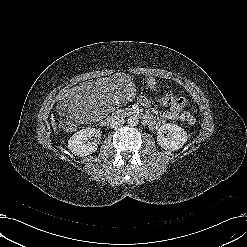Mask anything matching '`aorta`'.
<instances>
[{
	"label": "aorta",
	"mask_w": 247,
	"mask_h": 247,
	"mask_svg": "<svg viewBox=\"0 0 247 247\" xmlns=\"http://www.w3.org/2000/svg\"><path fill=\"white\" fill-rule=\"evenodd\" d=\"M138 117L137 116H130L128 119H127V123L130 125V126H136L138 125Z\"/></svg>",
	"instance_id": "762f6f07"
}]
</instances>
